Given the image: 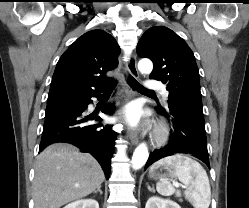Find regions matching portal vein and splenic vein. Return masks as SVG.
Wrapping results in <instances>:
<instances>
[{
    "instance_id": "obj_1",
    "label": "portal vein and splenic vein",
    "mask_w": 249,
    "mask_h": 208,
    "mask_svg": "<svg viewBox=\"0 0 249 208\" xmlns=\"http://www.w3.org/2000/svg\"><path fill=\"white\" fill-rule=\"evenodd\" d=\"M174 185L176 186V187H179V186H181L179 183H174Z\"/></svg>"
}]
</instances>
